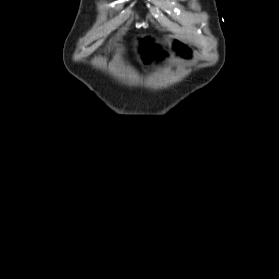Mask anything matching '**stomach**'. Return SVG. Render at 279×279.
Masks as SVG:
<instances>
[{
  "mask_svg": "<svg viewBox=\"0 0 279 279\" xmlns=\"http://www.w3.org/2000/svg\"><path fill=\"white\" fill-rule=\"evenodd\" d=\"M163 34H153V31H145V34H134V39H129L133 49H143V44H158V39H163ZM178 44V39L162 40V43ZM153 48H161V45H153ZM188 48V45H184ZM130 55H145V59H160V55H169V50H130ZM172 59H190V54H172ZM145 69H159V64H145ZM161 69H171V64H161Z\"/></svg>",
  "mask_w": 279,
  "mask_h": 279,
  "instance_id": "1",
  "label": "stomach"
}]
</instances>
